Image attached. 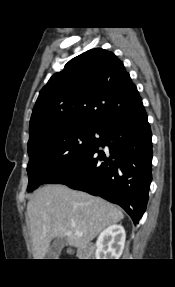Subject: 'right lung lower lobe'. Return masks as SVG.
Wrapping results in <instances>:
<instances>
[{
	"instance_id": "right-lung-lower-lobe-1",
	"label": "right lung lower lobe",
	"mask_w": 175,
	"mask_h": 287,
	"mask_svg": "<svg viewBox=\"0 0 175 287\" xmlns=\"http://www.w3.org/2000/svg\"><path fill=\"white\" fill-rule=\"evenodd\" d=\"M99 136L82 161L47 183L64 184L118 204L137 224L152 180V133L143 103L108 120ZM105 146L108 150L102 149Z\"/></svg>"
}]
</instances>
